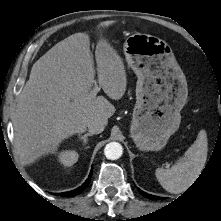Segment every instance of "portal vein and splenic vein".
Returning a JSON list of instances; mask_svg holds the SVG:
<instances>
[{"label": "portal vein and splenic vein", "mask_w": 221, "mask_h": 221, "mask_svg": "<svg viewBox=\"0 0 221 221\" xmlns=\"http://www.w3.org/2000/svg\"><path fill=\"white\" fill-rule=\"evenodd\" d=\"M99 90H100V87H99L98 84L95 82L94 88H93V90H92L91 93H90V97H91V98H94V97L97 95V93L99 92Z\"/></svg>", "instance_id": "18ae733b"}]
</instances>
